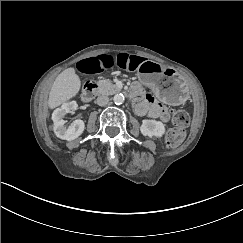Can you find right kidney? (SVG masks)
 Returning a JSON list of instances; mask_svg holds the SVG:
<instances>
[{
	"label": "right kidney",
	"instance_id": "1",
	"mask_svg": "<svg viewBox=\"0 0 243 243\" xmlns=\"http://www.w3.org/2000/svg\"><path fill=\"white\" fill-rule=\"evenodd\" d=\"M77 108V102L70 101L62 104L60 108L53 111V130L58 138L71 141L78 138L83 133L85 125L82 120H75L68 127H66L65 120L63 119L67 113H70V111L76 110Z\"/></svg>",
	"mask_w": 243,
	"mask_h": 243
}]
</instances>
